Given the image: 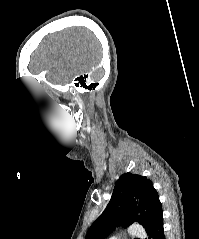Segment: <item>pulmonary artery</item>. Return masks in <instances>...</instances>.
Returning <instances> with one entry per match:
<instances>
[{"instance_id": "obj_1", "label": "pulmonary artery", "mask_w": 199, "mask_h": 239, "mask_svg": "<svg viewBox=\"0 0 199 239\" xmlns=\"http://www.w3.org/2000/svg\"><path fill=\"white\" fill-rule=\"evenodd\" d=\"M129 236L143 238L145 236V230L137 224H132L128 231ZM110 239H118L116 236H112Z\"/></svg>"}]
</instances>
